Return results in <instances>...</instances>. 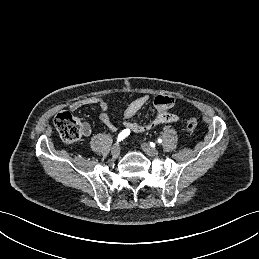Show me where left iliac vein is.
<instances>
[{
  "instance_id": "4c4485c4",
  "label": "left iliac vein",
  "mask_w": 259,
  "mask_h": 259,
  "mask_svg": "<svg viewBox=\"0 0 259 259\" xmlns=\"http://www.w3.org/2000/svg\"><path fill=\"white\" fill-rule=\"evenodd\" d=\"M141 148L149 156H157L159 153V151L155 147H151L147 143H142Z\"/></svg>"
}]
</instances>
